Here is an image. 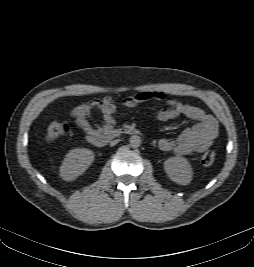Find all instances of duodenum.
<instances>
[{
  "mask_svg": "<svg viewBox=\"0 0 254 267\" xmlns=\"http://www.w3.org/2000/svg\"><path fill=\"white\" fill-rule=\"evenodd\" d=\"M138 134V130L135 128L127 127L118 130H109L97 134H93L88 136V141L96 146V147H103L107 144V142L114 137L119 135H135Z\"/></svg>",
  "mask_w": 254,
  "mask_h": 267,
  "instance_id": "410a0bca",
  "label": "duodenum"
}]
</instances>
